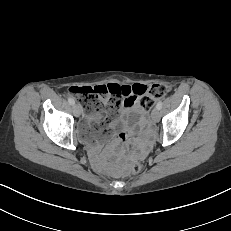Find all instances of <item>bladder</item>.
I'll return each mask as SVG.
<instances>
[{
  "mask_svg": "<svg viewBox=\"0 0 231 231\" xmlns=\"http://www.w3.org/2000/svg\"><path fill=\"white\" fill-rule=\"evenodd\" d=\"M95 133H97V130L91 126L78 127L76 129L77 138L84 144H89L94 142Z\"/></svg>",
  "mask_w": 231,
  "mask_h": 231,
  "instance_id": "1",
  "label": "bladder"
}]
</instances>
